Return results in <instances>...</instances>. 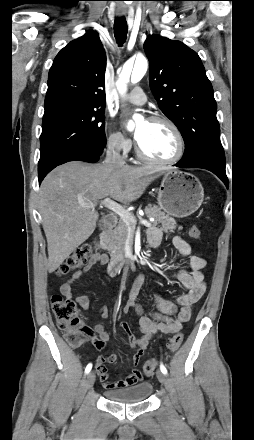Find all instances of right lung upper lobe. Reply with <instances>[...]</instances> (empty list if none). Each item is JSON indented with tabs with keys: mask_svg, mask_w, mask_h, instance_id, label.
Masks as SVG:
<instances>
[{
	"mask_svg": "<svg viewBox=\"0 0 254 440\" xmlns=\"http://www.w3.org/2000/svg\"><path fill=\"white\" fill-rule=\"evenodd\" d=\"M105 69V51L96 32L70 42L49 70L45 108L71 102L104 109Z\"/></svg>",
	"mask_w": 254,
	"mask_h": 440,
	"instance_id": "obj_1",
	"label": "right lung upper lobe"
}]
</instances>
